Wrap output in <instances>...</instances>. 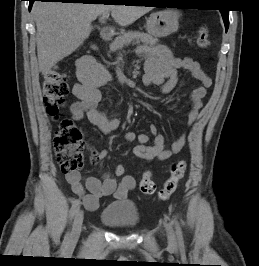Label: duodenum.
<instances>
[{
    "label": "duodenum",
    "mask_w": 259,
    "mask_h": 266,
    "mask_svg": "<svg viewBox=\"0 0 259 266\" xmlns=\"http://www.w3.org/2000/svg\"><path fill=\"white\" fill-rule=\"evenodd\" d=\"M100 36H101L102 40L108 41L113 37V31L111 28L105 27L101 30Z\"/></svg>",
    "instance_id": "1"
}]
</instances>
